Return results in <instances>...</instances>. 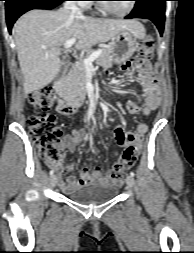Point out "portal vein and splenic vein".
<instances>
[{"instance_id":"18ae733b","label":"portal vein and splenic vein","mask_w":194,"mask_h":253,"mask_svg":"<svg viewBox=\"0 0 194 253\" xmlns=\"http://www.w3.org/2000/svg\"><path fill=\"white\" fill-rule=\"evenodd\" d=\"M75 42H76V39H74V38L69 39L64 43V47L66 49H69ZM100 55H101V50H97V51L93 52L88 58L84 59L83 62L85 64V67L92 68L93 67L92 62L95 59H97Z\"/></svg>"}]
</instances>
